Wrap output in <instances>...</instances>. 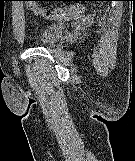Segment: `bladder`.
Here are the masks:
<instances>
[{
    "mask_svg": "<svg viewBox=\"0 0 135 161\" xmlns=\"http://www.w3.org/2000/svg\"><path fill=\"white\" fill-rule=\"evenodd\" d=\"M64 33V25L49 24L43 28L38 36V43L48 46L58 41Z\"/></svg>",
    "mask_w": 135,
    "mask_h": 161,
    "instance_id": "1",
    "label": "bladder"
}]
</instances>
